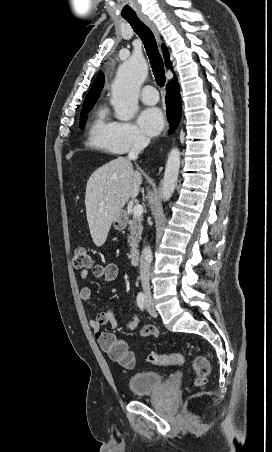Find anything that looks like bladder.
Segmentation results:
<instances>
[{"label": "bladder", "instance_id": "31cf9c89", "mask_svg": "<svg viewBox=\"0 0 272 452\" xmlns=\"http://www.w3.org/2000/svg\"><path fill=\"white\" fill-rule=\"evenodd\" d=\"M164 384L162 375L156 371H139L132 373L127 386L134 396H146L160 389Z\"/></svg>", "mask_w": 272, "mask_h": 452}]
</instances>
